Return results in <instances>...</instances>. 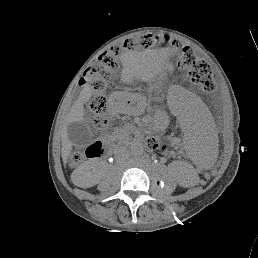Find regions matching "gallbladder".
Masks as SVG:
<instances>
[{
    "label": "gallbladder",
    "mask_w": 258,
    "mask_h": 258,
    "mask_svg": "<svg viewBox=\"0 0 258 258\" xmlns=\"http://www.w3.org/2000/svg\"><path fill=\"white\" fill-rule=\"evenodd\" d=\"M69 140L76 146H86L93 140L90 127L83 122H72L67 126Z\"/></svg>",
    "instance_id": "1"
}]
</instances>
